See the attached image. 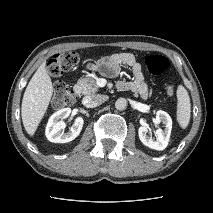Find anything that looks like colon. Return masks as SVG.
<instances>
[{"label":"colon","instance_id":"5ec220e1","mask_svg":"<svg viewBox=\"0 0 213 213\" xmlns=\"http://www.w3.org/2000/svg\"><path fill=\"white\" fill-rule=\"evenodd\" d=\"M79 56L75 52H62L55 54L48 62V71L51 75L59 76L73 70L79 64ZM146 66L151 74H163L169 67V61L161 55H150L145 60ZM163 91L167 97L174 94V84L166 80L163 84ZM76 100L75 92L65 83L59 82L54 87L51 104L54 108L60 109L72 105Z\"/></svg>","mask_w":213,"mask_h":213}]
</instances>
